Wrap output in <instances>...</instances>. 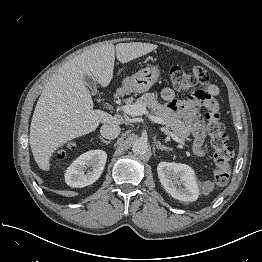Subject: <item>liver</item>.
<instances>
[{
	"instance_id": "obj_1",
	"label": "liver",
	"mask_w": 262,
	"mask_h": 262,
	"mask_svg": "<svg viewBox=\"0 0 262 262\" xmlns=\"http://www.w3.org/2000/svg\"><path fill=\"white\" fill-rule=\"evenodd\" d=\"M157 47L141 42L119 43L116 47L102 45L83 52L59 68L45 85L31 121L29 143L40 169L48 171L55 150L95 131L100 123H123L122 118L93 109L83 76H94L102 87H107L113 78L115 51L118 61L127 63ZM121 72L122 69L118 74Z\"/></svg>"
}]
</instances>
